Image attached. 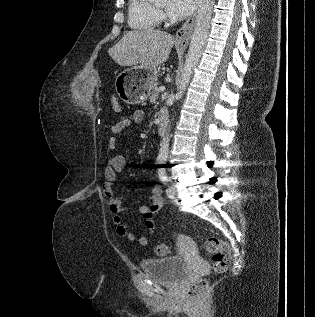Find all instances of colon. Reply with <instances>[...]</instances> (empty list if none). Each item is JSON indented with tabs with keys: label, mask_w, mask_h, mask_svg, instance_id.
I'll return each mask as SVG.
<instances>
[{
	"label": "colon",
	"mask_w": 315,
	"mask_h": 317,
	"mask_svg": "<svg viewBox=\"0 0 315 317\" xmlns=\"http://www.w3.org/2000/svg\"><path fill=\"white\" fill-rule=\"evenodd\" d=\"M114 108L120 109V105L117 100L113 101ZM171 248L166 243H161L156 247V252L159 255H167ZM206 250L212 255L213 270L217 273L225 272L231 261V249L229 245L219 238H209L206 242ZM207 281L205 279H199L191 283L187 289V297L190 300L198 299L206 290Z\"/></svg>",
	"instance_id": "5ec220e1"
}]
</instances>
